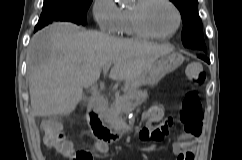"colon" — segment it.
I'll return each mask as SVG.
<instances>
[{
  "label": "colon",
  "mask_w": 242,
  "mask_h": 160,
  "mask_svg": "<svg viewBox=\"0 0 242 160\" xmlns=\"http://www.w3.org/2000/svg\"><path fill=\"white\" fill-rule=\"evenodd\" d=\"M186 75L193 83H202L205 80V72L200 62H191L187 65ZM202 107L197 97V93L189 91L186 93L182 104L180 120L185 126V133L197 135L201 130L202 121ZM42 130L44 132V144L56 151V153L66 159L70 160H92L88 152L79 151L70 157L68 151V141L65 140L62 132V123L57 119H45L42 122ZM152 139L160 140L163 137L161 131H153L150 133L146 131Z\"/></svg>",
  "instance_id": "obj_1"
}]
</instances>
